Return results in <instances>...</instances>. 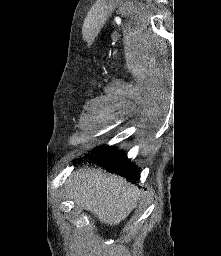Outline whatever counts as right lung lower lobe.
<instances>
[{"instance_id": "right-lung-lower-lobe-1", "label": "right lung lower lobe", "mask_w": 221, "mask_h": 256, "mask_svg": "<svg viewBox=\"0 0 221 256\" xmlns=\"http://www.w3.org/2000/svg\"><path fill=\"white\" fill-rule=\"evenodd\" d=\"M89 163L99 165L110 172L117 173L128 179L130 182L139 180V169L129 162L127 156L122 151L106 146L100 152L96 153Z\"/></svg>"}]
</instances>
